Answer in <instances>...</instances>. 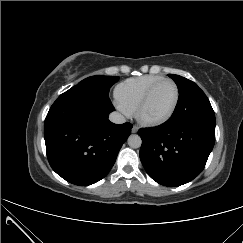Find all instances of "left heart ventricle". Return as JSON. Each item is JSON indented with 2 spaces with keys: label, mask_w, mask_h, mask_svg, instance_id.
Segmentation results:
<instances>
[{
  "label": "left heart ventricle",
  "mask_w": 243,
  "mask_h": 243,
  "mask_svg": "<svg viewBox=\"0 0 243 243\" xmlns=\"http://www.w3.org/2000/svg\"><path fill=\"white\" fill-rule=\"evenodd\" d=\"M174 100V86L171 83L160 85L152 94L143 111V116L147 119H158L165 116L172 108Z\"/></svg>",
  "instance_id": "obj_1"
}]
</instances>
